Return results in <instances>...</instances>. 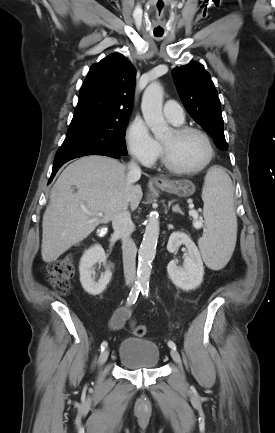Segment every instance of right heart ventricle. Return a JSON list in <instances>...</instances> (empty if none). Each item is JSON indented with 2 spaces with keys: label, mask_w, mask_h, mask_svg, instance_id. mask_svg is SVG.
<instances>
[{
  "label": "right heart ventricle",
  "mask_w": 275,
  "mask_h": 433,
  "mask_svg": "<svg viewBox=\"0 0 275 433\" xmlns=\"http://www.w3.org/2000/svg\"><path fill=\"white\" fill-rule=\"evenodd\" d=\"M172 124H174V125H176V126H179V125H181L182 124V122H172V121H170Z\"/></svg>",
  "instance_id": "right-heart-ventricle-1"
}]
</instances>
